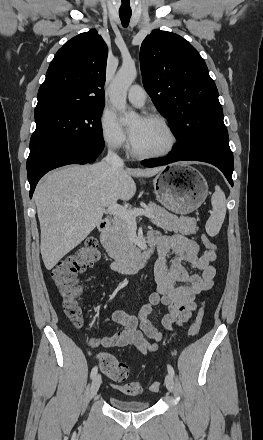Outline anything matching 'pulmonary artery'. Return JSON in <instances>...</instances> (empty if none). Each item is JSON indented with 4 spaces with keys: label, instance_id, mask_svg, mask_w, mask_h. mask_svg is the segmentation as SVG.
<instances>
[{
    "label": "pulmonary artery",
    "instance_id": "pulmonary-artery-1",
    "mask_svg": "<svg viewBox=\"0 0 263 440\" xmlns=\"http://www.w3.org/2000/svg\"><path fill=\"white\" fill-rule=\"evenodd\" d=\"M128 100L135 106H143L147 98L145 90L139 85L130 87L127 93Z\"/></svg>",
    "mask_w": 263,
    "mask_h": 440
}]
</instances>
